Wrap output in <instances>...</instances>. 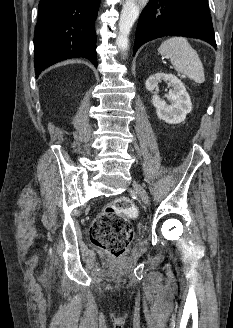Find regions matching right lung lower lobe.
<instances>
[{"instance_id": "obj_1", "label": "right lung lower lobe", "mask_w": 233, "mask_h": 328, "mask_svg": "<svg viewBox=\"0 0 233 328\" xmlns=\"http://www.w3.org/2000/svg\"><path fill=\"white\" fill-rule=\"evenodd\" d=\"M100 0H41L34 35L36 78L47 67L84 57L97 67L96 32Z\"/></svg>"}]
</instances>
